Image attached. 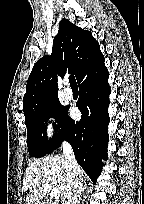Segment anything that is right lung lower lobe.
<instances>
[{
    "instance_id": "obj_1",
    "label": "right lung lower lobe",
    "mask_w": 144,
    "mask_h": 204,
    "mask_svg": "<svg viewBox=\"0 0 144 204\" xmlns=\"http://www.w3.org/2000/svg\"><path fill=\"white\" fill-rule=\"evenodd\" d=\"M109 73L104 60L86 72L78 81L79 100L76 103L82 113L80 121L67 115L61 127V135L50 153L67 140L74 150L77 162L96 183L102 171L101 160L107 159L109 141L107 112L110 87Z\"/></svg>"
}]
</instances>
